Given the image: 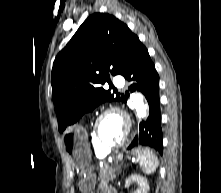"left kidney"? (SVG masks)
Listing matches in <instances>:
<instances>
[{
	"label": "left kidney",
	"mask_w": 221,
	"mask_h": 193,
	"mask_svg": "<svg viewBox=\"0 0 221 193\" xmlns=\"http://www.w3.org/2000/svg\"><path fill=\"white\" fill-rule=\"evenodd\" d=\"M135 183L139 185V188L135 193H148L149 184L147 180L138 174H132L129 176V178H127L125 181V187L129 188L130 185Z\"/></svg>",
	"instance_id": "5707ae66"
}]
</instances>
